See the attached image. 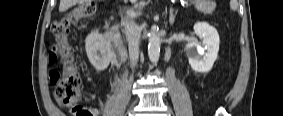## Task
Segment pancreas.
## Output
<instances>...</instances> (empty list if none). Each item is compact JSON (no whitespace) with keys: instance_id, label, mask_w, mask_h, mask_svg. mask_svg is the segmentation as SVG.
I'll use <instances>...</instances> for the list:
<instances>
[{"instance_id":"cf45deb5","label":"pancreas","mask_w":283,"mask_h":116,"mask_svg":"<svg viewBox=\"0 0 283 116\" xmlns=\"http://www.w3.org/2000/svg\"><path fill=\"white\" fill-rule=\"evenodd\" d=\"M199 10L205 14L211 13L213 11V7L211 6H203L200 7Z\"/></svg>"}]
</instances>
